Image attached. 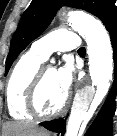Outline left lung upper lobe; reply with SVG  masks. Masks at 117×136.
<instances>
[{
    "mask_svg": "<svg viewBox=\"0 0 117 136\" xmlns=\"http://www.w3.org/2000/svg\"><path fill=\"white\" fill-rule=\"evenodd\" d=\"M62 6L86 10L98 17L103 24L117 14L115 0H32L11 40L5 75L19 53L48 27Z\"/></svg>",
    "mask_w": 117,
    "mask_h": 136,
    "instance_id": "left-lung-upper-lobe-1",
    "label": "left lung upper lobe"
}]
</instances>
